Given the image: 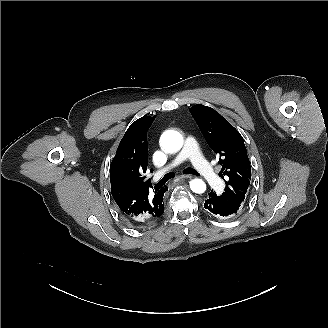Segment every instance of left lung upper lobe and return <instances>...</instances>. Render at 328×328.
<instances>
[{
	"instance_id": "obj_1",
	"label": "left lung upper lobe",
	"mask_w": 328,
	"mask_h": 328,
	"mask_svg": "<svg viewBox=\"0 0 328 328\" xmlns=\"http://www.w3.org/2000/svg\"><path fill=\"white\" fill-rule=\"evenodd\" d=\"M190 112L213 151L219 155L221 177L226 183L219 200L238 210L245 199L251 180V167L241 134L217 111L195 105ZM225 177V179H224Z\"/></svg>"
}]
</instances>
